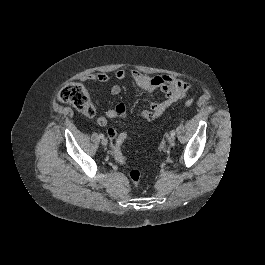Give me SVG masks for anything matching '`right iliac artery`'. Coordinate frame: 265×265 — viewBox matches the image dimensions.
Instances as JSON below:
<instances>
[{"label":"right iliac artery","mask_w":265,"mask_h":265,"mask_svg":"<svg viewBox=\"0 0 265 265\" xmlns=\"http://www.w3.org/2000/svg\"><path fill=\"white\" fill-rule=\"evenodd\" d=\"M99 138L103 139L104 138V135L103 134H100L99 135Z\"/></svg>","instance_id":"82829eb1"}]
</instances>
